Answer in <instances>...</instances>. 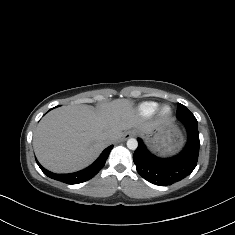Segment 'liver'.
I'll list each match as a JSON object with an SVG mask.
<instances>
[{"instance_id": "obj_1", "label": "liver", "mask_w": 235, "mask_h": 235, "mask_svg": "<svg viewBox=\"0 0 235 235\" xmlns=\"http://www.w3.org/2000/svg\"><path fill=\"white\" fill-rule=\"evenodd\" d=\"M132 103L117 99L99 109L87 105L64 106L48 113L38 124L33 146L40 163L47 169L72 172L90 164L109 144L107 135L122 134L136 126ZM158 127L145 123L142 134Z\"/></svg>"}]
</instances>
